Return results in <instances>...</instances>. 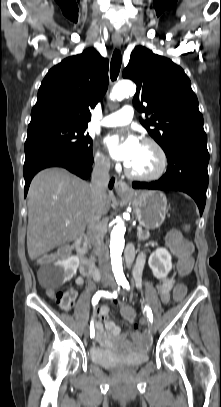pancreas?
<instances>
[{"label":"pancreas","mask_w":221,"mask_h":407,"mask_svg":"<svg viewBox=\"0 0 221 407\" xmlns=\"http://www.w3.org/2000/svg\"><path fill=\"white\" fill-rule=\"evenodd\" d=\"M137 237H138L139 241H145V240L149 239L150 233L148 230H145V231L142 230L140 232H137Z\"/></svg>","instance_id":"pancreas-1"}]
</instances>
